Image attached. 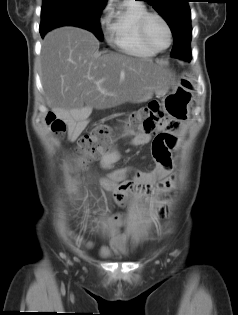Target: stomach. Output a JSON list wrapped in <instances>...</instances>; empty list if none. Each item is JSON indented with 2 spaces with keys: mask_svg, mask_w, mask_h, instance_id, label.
Listing matches in <instances>:
<instances>
[{
  "mask_svg": "<svg viewBox=\"0 0 238 315\" xmlns=\"http://www.w3.org/2000/svg\"><path fill=\"white\" fill-rule=\"evenodd\" d=\"M196 85L191 84L190 76H181L180 85L175 87L174 91L166 94L163 108L166 115L171 116L174 122H188L191 116L190 105L192 98H196Z\"/></svg>",
  "mask_w": 238,
  "mask_h": 315,
  "instance_id": "1",
  "label": "stomach"
}]
</instances>
